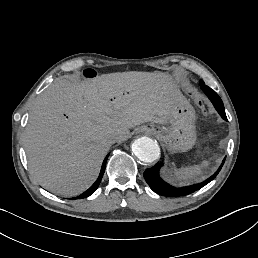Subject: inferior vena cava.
<instances>
[{
	"mask_svg": "<svg viewBox=\"0 0 258 258\" xmlns=\"http://www.w3.org/2000/svg\"><path fill=\"white\" fill-rule=\"evenodd\" d=\"M105 140L109 145H111L118 141V137L115 133H109L106 135Z\"/></svg>",
	"mask_w": 258,
	"mask_h": 258,
	"instance_id": "inferior-vena-cava-1",
	"label": "inferior vena cava"
}]
</instances>
